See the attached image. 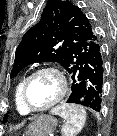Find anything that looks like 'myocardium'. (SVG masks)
<instances>
[{"label": "myocardium", "mask_w": 117, "mask_h": 136, "mask_svg": "<svg viewBox=\"0 0 117 136\" xmlns=\"http://www.w3.org/2000/svg\"><path fill=\"white\" fill-rule=\"evenodd\" d=\"M42 73H51L53 75H55L60 83V91L59 94L57 95V97L51 101L49 104H47L44 107L41 108H35L33 106H31V104L28 101V87L30 82L32 81V79L34 77H36L39 74ZM68 91V82L67 79L65 77V75L58 70L57 68L54 67H42L39 68L37 70H35L34 72H32L24 81L23 84V88H22V102L24 107L30 112V113H42L45 112L49 109H51L52 107H54L56 104H58L67 94Z\"/></svg>", "instance_id": "1"}]
</instances>
